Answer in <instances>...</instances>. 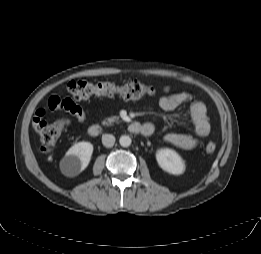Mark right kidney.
I'll return each mask as SVG.
<instances>
[{
	"mask_svg": "<svg viewBox=\"0 0 261 254\" xmlns=\"http://www.w3.org/2000/svg\"><path fill=\"white\" fill-rule=\"evenodd\" d=\"M92 153L90 142L82 141L71 146L62 160L65 173L72 176L82 172L88 166Z\"/></svg>",
	"mask_w": 261,
	"mask_h": 254,
	"instance_id": "obj_1",
	"label": "right kidney"
}]
</instances>
